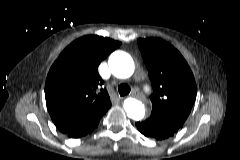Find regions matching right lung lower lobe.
<instances>
[{"label":"right lung lower lobe","instance_id":"right-lung-lower-lobe-1","mask_svg":"<svg viewBox=\"0 0 240 160\" xmlns=\"http://www.w3.org/2000/svg\"><path fill=\"white\" fill-rule=\"evenodd\" d=\"M100 119L101 118H98L90 123L80 125L72 129L70 132L66 133V135L70 138H80L82 136H85L88 133L92 132L97 127Z\"/></svg>","mask_w":240,"mask_h":160}]
</instances>
